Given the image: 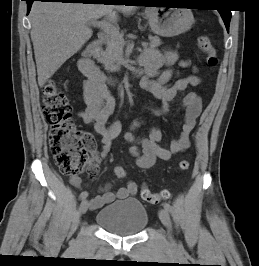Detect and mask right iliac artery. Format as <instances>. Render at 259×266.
<instances>
[{"label": "right iliac artery", "mask_w": 259, "mask_h": 266, "mask_svg": "<svg viewBox=\"0 0 259 266\" xmlns=\"http://www.w3.org/2000/svg\"><path fill=\"white\" fill-rule=\"evenodd\" d=\"M87 196H88V192L87 191H83L80 194V199L81 200H85L87 198Z\"/></svg>", "instance_id": "82829eb1"}]
</instances>
